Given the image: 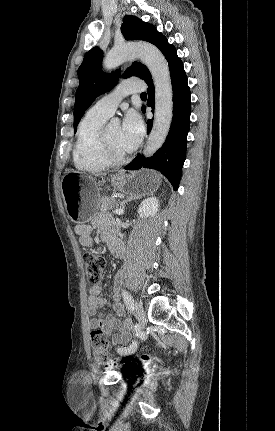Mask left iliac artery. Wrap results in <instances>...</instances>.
Here are the masks:
<instances>
[{"label":"left iliac artery","instance_id":"44dca946","mask_svg":"<svg viewBox=\"0 0 275 431\" xmlns=\"http://www.w3.org/2000/svg\"><path fill=\"white\" fill-rule=\"evenodd\" d=\"M122 297H123V301L126 305V307L128 308V310L133 311L134 309V300L131 296V294L126 291V290H122ZM137 349V342L133 341L128 347H119L118 348V353L121 355H127V354H131L133 352H135Z\"/></svg>","mask_w":275,"mask_h":431}]
</instances>
